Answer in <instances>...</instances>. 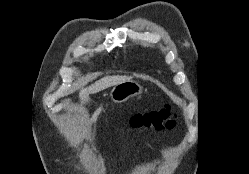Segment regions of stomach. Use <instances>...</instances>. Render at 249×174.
Listing matches in <instances>:
<instances>
[{"label": "stomach", "mask_w": 249, "mask_h": 174, "mask_svg": "<svg viewBox=\"0 0 249 174\" xmlns=\"http://www.w3.org/2000/svg\"><path fill=\"white\" fill-rule=\"evenodd\" d=\"M141 93L142 87L137 82L129 80L115 85L110 93V98L115 103H123Z\"/></svg>", "instance_id": "0dacf381"}]
</instances>
